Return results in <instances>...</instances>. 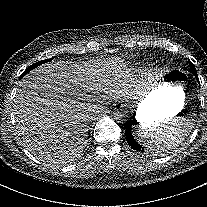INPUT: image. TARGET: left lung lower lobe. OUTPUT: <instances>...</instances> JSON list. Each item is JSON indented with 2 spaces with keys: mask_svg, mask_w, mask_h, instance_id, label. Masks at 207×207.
<instances>
[{
  "mask_svg": "<svg viewBox=\"0 0 207 207\" xmlns=\"http://www.w3.org/2000/svg\"><path fill=\"white\" fill-rule=\"evenodd\" d=\"M191 73L198 79L196 69L193 70ZM131 126H132V121L129 122V123L127 124L126 130H125V135H126L127 143H128L132 148H134L135 150H137V151H143L142 146L139 145V144L136 142V140L133 138V135H132V132H131Z\"/></svg>",
  "mask_w": 207,
  "mask_h": 207,
  "instance_id": "1",
  "label": "left lung lower lobe"
}]
</instances>
